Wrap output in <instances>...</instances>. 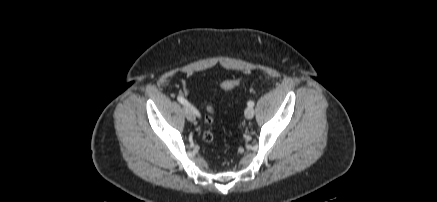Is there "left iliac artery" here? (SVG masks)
<instances>
[{
	"instance_id": "44dca946",
	"label": "left iliac artery",
	"mask_w": 437,
	"mask_h": 202,
	"mask_svg": "<svg viewBox=\"0 0 437 202\" xmlns=\"http://www.w3.org/2000/svg\"><path fill=\"white\" fill-rule=\"evenodd\" d=\"M254 104H255L254 101H249V102H248V106H250V107H253Z\"/></svg>"
}]
</instances>
